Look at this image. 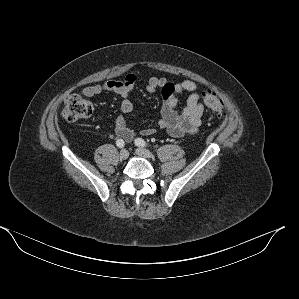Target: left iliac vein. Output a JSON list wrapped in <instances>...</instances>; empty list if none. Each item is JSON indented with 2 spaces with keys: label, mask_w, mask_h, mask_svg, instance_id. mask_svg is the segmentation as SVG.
Returning a JSON list of instances; mask_svg holds the SVG:
<instances>
[{
  "label": "left iliac vein",
  "mask_w": 299,
  "mask_h": 299,
  "mask_svg": "<svg viewBox=\"0 0 299 299\" xmlns=\"http://www.w3.org/2000/svg\"><path fill=\"white\" fill-rule=\"evenodd\" d=\"M135 152L140 157H144V158H147V159L152 158V153L149 150L145 149V148H137Z\"/></svg>",
  "instance_id": "obj_1"
}]
</instances>
